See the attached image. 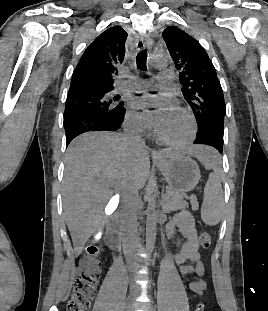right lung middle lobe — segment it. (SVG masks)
I'll return each instance as SVG.
<instances>
[{"instance_id":"1","label":"right lung middle lobe","mask_w":268,"mask_h":311,"mask_svg":"<svg viewBox=\"0 0 268 311\" xmlns=\"http://www.w3.org/2000/svg\"><path fill=\"white\" fill-rule=\"evenodd\" d=\"M123 106L124 102L120 100V95H113L112 90L87 87L69 89L64 121L80 111L114 117L120 113Z\"/></svg>"}]
</instances>
